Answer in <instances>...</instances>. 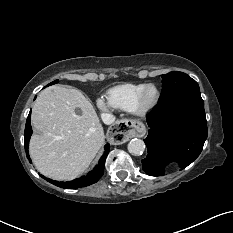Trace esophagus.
I'll use <instances>...</instances> for the list:
<instances>
[{"label":"esophagus","mask_w":233,"mask_h":233,"mask_svg":"<svg viewBox=\"0 0 233 233\" xmlns=\"http://www.w3.org/2000/svg\"><path fill=\"white\" fill-rule=\"evenodd\" d=\"M144 133L142 122L133 119H122L109 128L107 138L112 144L118 145L134 136L142 137Z\"/></svg>","instance_id":"1"}]
</instances>
